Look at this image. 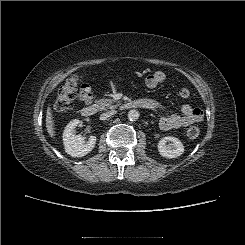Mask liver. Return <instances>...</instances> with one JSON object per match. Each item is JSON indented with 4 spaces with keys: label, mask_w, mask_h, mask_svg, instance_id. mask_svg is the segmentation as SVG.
Here are the masks:
<instances>
[{
    "label": "liver",
    "mask_w": 245,
    "mask_h": 245,
    "mask_svg": "<svg viewBox=\"0 0 245 245\" xmlns=\"http://www.w3.org/2000/svg\"><path fill=\"white\" fill-rule=\"evenodd\" d=\"M46 128L49 136L51 138H54L55 136V128H54V120L52 116V110L50 106H48L47 111H46Z\"/></svg>",
    "instance_id": "6515ba94"
}]
</instances>
